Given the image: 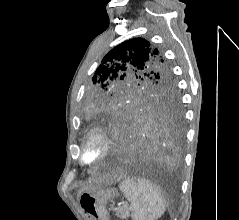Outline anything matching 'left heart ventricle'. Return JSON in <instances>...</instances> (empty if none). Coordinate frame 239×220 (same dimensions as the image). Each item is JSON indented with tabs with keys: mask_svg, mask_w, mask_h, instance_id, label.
I'll use <instances>...</instances> for the list:
<instances>
[{
	"mask_svg": "<svg viewBox=\"0 0 239 220\" xmlns=\"http://www.w3.org/2000/svg\"><path fill=\"white\" fill-rule=\"evenodd\" d=\"M99 153V145L97 143H92L86 150L85 157L86 159L92 160Z\"/></svg>",
	"mask_w": 239,
	"mask_h": 220,
	"instance_id": "1",
	"label": "left heart ventricle"
}]
</instances>
